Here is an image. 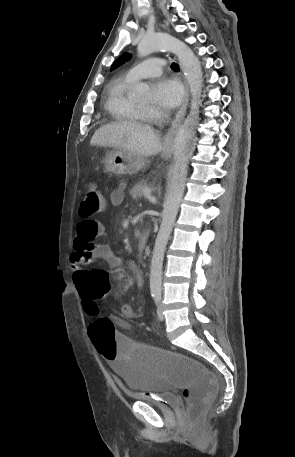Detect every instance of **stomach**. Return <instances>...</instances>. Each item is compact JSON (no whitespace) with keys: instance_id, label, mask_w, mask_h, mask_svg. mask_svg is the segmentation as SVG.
Returning <instances> with one entry per match:
<instances>
[{"instance_id":"obj_1","label":"stomach","mask_w":295,"mask_h":457,"mask_svg":"<svg viewBox=\"0 0 295 457\" xmlns=\"http://www.w3.org/2000/svg\"><path fill=\"white\" fill-rule=\"evenodd\" d=\"M104 164L106 171L126 175L141 170L145 166V160L125 150L114 149L106 153Z\"/></svg>"}]
</instances>
